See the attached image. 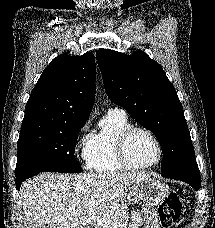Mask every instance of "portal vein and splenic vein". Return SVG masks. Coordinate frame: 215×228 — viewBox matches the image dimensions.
<instances>
[{
  "label": "portal vein and splenic vein",
  "instance_id": "portal-vein-and-splenic-vein-1",
  "mask_svg": "<svg viewBox=\"0 0 215 228\" xmlns=\"http://www.w3.org/2000/svg\"><path fill=\"white\" fill-rule=\"evenodd\" d=\"M89 204L92 206V204H95V202H93V200H90Z\"/></svg>",
  "mask_w": 215,
  "mask_h": 228
}]
</instances>
